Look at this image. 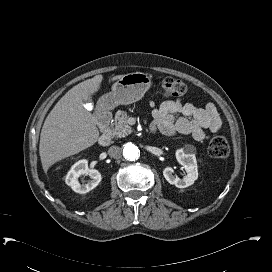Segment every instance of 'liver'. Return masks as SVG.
Returning a JSON list of instances; mask_svg holds the SVG:
<instances>
[{"label": "liver", "mask_w": 272, "mask_h": 272, "mask_svg": "<svg viewBox=\"0 0 272 272\" xmlns=\"http://www.w3.org/2000/svg\"><path fill=\"white\" fill-rule=\"evenodd\" d=\"M124 75L114 76L119 80ZM96 75L70 89L54 106L43 124L39 154L44 171L54 163L94 145L99 138L95 117L84 107L101 86Z\"/></svg>", "instance_id": "liver-1"}]
</instances>
